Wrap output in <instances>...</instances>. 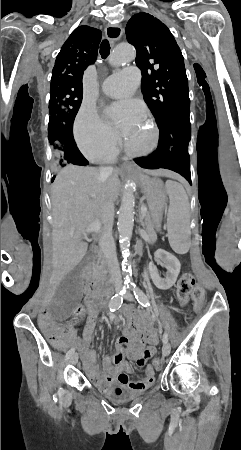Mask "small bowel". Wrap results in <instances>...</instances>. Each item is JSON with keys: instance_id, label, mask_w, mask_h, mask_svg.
I'll return each mask as SVG.
<instances>
[{"instance_id": "1", "label": "small bowel", "mask_w": 241, "mask_h": 450, "mask_svg": "<svg viewBox=\"0 0 241 450\" xmlns=\"http://www.w3.org/2000/svg\"><path fill=\"white\" fill-rule=\"evenodd\" d=\"M84 287L87 294L85 303L88 306L90 318L80 335H77V331L79 330L78 326L72 328L65 327L62 333L71 339L73 338L75 346L82 352L87 375L100 389H106L117 382L120 389L135 391L147 390L156 381L155 369H151L149 365L145 366L146 361L157 353L156 345L158 338L156 333L152 330L149 331L147 324H140L137 329L135 324H130L131 321H127L124 328V335L117 341L116 353L112 358L107 356L102 357V371H99L95 365V353L89 349V342L95 327L98 299L91 291L94 287L92 283L88 282ZM39 307L40 310L36 312L37 319L52 318V311L49 310L46 300H41ZM50 325V322L47 320L42 323L44 327L43 334L48 336L51 343L57 344L61 341V338L53 334ZM125 357L132 360L138 367L145 366V376L142 380L132 381L130 379V365L125 360Z\"/></svg>"}]
</instances>
